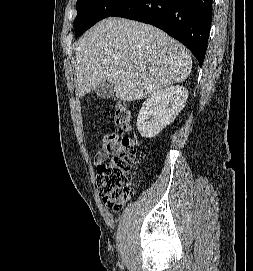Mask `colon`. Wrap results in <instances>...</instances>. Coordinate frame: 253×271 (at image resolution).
Here are the masks:
<instances>
[{"instance_id":"1","label":"colon","mask_w":253,"mask_h":271,"mask_svg":"<svg viewBox=\"0 0 253 271\" xmlns=\"http://www.w3.org/2000/svg\"><path fill=\"white\" fill-rule=\"evenodd\" d=\"M113 123L122 135L123 149L98 164L96 186L103 203L109 209L118 211L133 194L130 175L135 164V143L128 135L131 130L132 115L125 104L119 102L115 105Z\"/></svg>"}]
</instances>
